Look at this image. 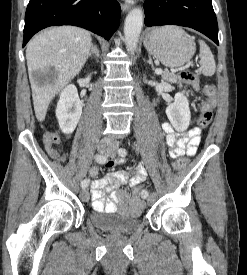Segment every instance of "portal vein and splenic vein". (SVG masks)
Returning <instances> with one entry per match:
<instances>
[{
	"mask_svg": "<svg viewBox=\"0 0 247 275\" xmlns=\"http://www.w3.org/2000/svg\"><path fill=\"white\" fill-rule=\"evenodd\" d=\"M156 73H157L158 75H160V74L163 73V70H162V69H157V70H156Z\"/></svg>",
	"mask_w": 247,
	"mask_h": 275,
	"instance_id": "obj_1",
	"label": "portal vein and splenic vein"
}]
</instances>
